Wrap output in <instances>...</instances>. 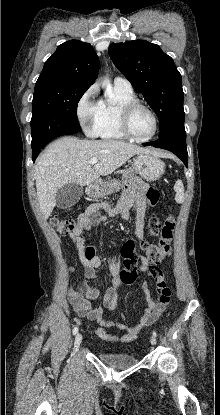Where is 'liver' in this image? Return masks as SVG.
<instances>
[{"mask_svg":"<svg viewBox=\"0 0 220 415\" xmlns=\"http://www.w3.org/2000/svg\"><path fill=\"white\" fill-rule=\"evenodd\" d=\"M150 153L148 149L112 139L64 137L51 143L38 158L34 169L37 197L44 218L52 213L57 191L64 185L89 186L100 176L114 172L133 155ZM92 158H97L98 162L91 164Z\"/></svg>","mask_w":220,"mask_h":415,"instance_id":"6515ba94","label":"liver"}]
</instances>
